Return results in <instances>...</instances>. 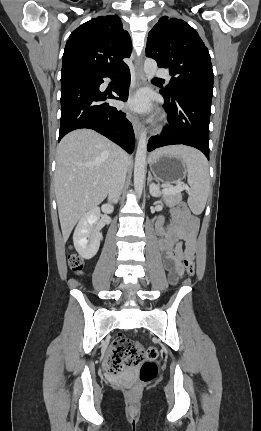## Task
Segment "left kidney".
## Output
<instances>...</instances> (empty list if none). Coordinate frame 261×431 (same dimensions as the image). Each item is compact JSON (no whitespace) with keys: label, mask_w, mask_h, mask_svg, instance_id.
I'll list each match as a JSON object with an SVG mask.
<instances>
[{"label":"left kidney","mask_w":261,"mask_h":431,"mask_svg":"<svg viewBox=\"0 0 261 431\" xmlns=\"http://www.w3.org/2000/svg\"><path fill=\"white\" fill-rule=\"evenodd\" d=\"M149 189H150V194L152 196L157 197L160 195V190H159V187L157 185L151 184Z\"/></svg>","instance_id":"obj_1"}]
</instances>
